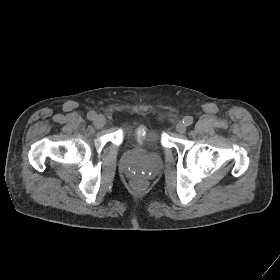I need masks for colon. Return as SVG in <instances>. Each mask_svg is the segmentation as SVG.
Masks as SVG:
<instances>
[{
	"label": "colon",
	"mask_w": 280,
	"mask_h": 280,
	"mask_svg": "<svg viewBox=\"0 0 280 280\" xmlns=\"http://www.w3.org/2000/svg\"><path fill=\"white\" fill-rule=\"evenodd\" d=\"M135 187L138 189H142L145 187V182L143 180H137L134 183Z\"/></svg>",
	"instance_id": "1"
}]
</instances>
